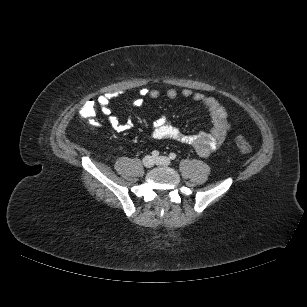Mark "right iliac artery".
<instances>
[{"mask_svg": "<svg viewBox=\"0 0 307 307\" xmlns=\"http://www.w3.org/2000/svg\"><path fill=\"white\" fill-rule=\"evenodd\" d=\"M152 157L153 158H157L159 156V152L157 150H154L152 153H151Z\"/></svg>", "mask_w": 307, "mask_h": 307, "instance_id": "obj_1", "label": "right iliac artery"}]
</instances>
